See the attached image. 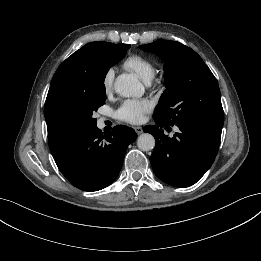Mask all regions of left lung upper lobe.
<instances>
[{"label":"left lung upper lobe","mask_w":261,"mask_h":261,"mask_svg":"<svg viewBox=\"0 0 261 261\" xmlns=\"http://www.w3.org/2000/svg\"><path fill=\"white\" fill-rule=\"evenodd\" d=\"M139 48L158 54L165 62L166 90L155 108L154 120L168 126L223 122L217 80L195 51L169 40Z\"/></svg>","instance_id":"obj_1"}]
</instances>
